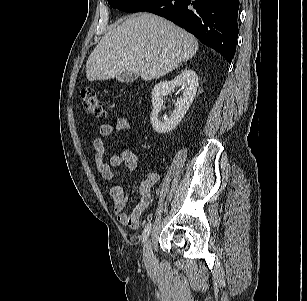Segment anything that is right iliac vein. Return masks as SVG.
Segmentation results:
<instances>
[{"label":"right iliac vein","instance_id":"right-iliac-vein-1","mask_svg":"<svg viewBox=\"0 0 307 301\" xmlns=\"http://www.w3.org/2000/svg\"><path fill=\"white\" fill-rule=\"evenodd\" d=\"M143 260L146 266L153 267L155 265V257L152 251L151 240L148 239L143 247Z\"/></svg>","mask_w":307,"mask_h":301}]
</instances>
